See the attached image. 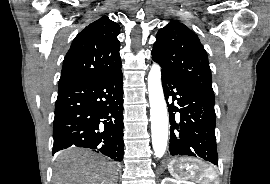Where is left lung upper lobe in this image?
I'll return each instance as SVG.
<instances>
[{"mask_svg": "<svg viewBox=\"0 0 270 184\" xmlns=\"http://www.w3.org/2000/svg\"><path fill=\"white\" fill-rule=\"evenodd\" d=\"M152 59L187 77L214 98L207 53L197 35L183 23L173 20L158 31Z\"/></svg>", "mask_w": 270, "mask_h": 184, "instance_id": "obj_1", "label": "left lung upper lobe"}]
</instances>
